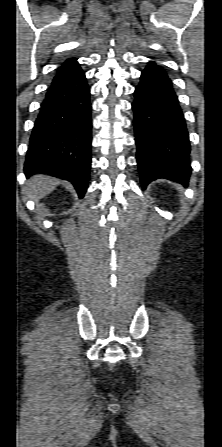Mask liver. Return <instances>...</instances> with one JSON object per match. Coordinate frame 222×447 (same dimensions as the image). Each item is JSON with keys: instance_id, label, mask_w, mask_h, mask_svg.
Wrapping results in <instances>:
<instances>
[{"instance_id": "1", "label": "liver", "mask_w": 222, "mask_h": 447, "mask_svg": "<svg viewBox=\"0 0 222 447\" xmlns=\"http://www.w3.org/2000/svg\"><path fill=\"white\" fill-rule=\"evenodd\" d=\"M58 184L59 181L53 177L36 175L27 182V191L32 199L40 200L51 193Z\"/></svg>"}]
</instances>
